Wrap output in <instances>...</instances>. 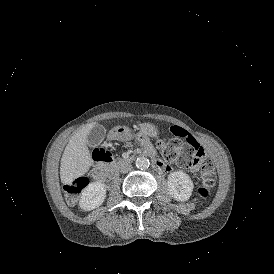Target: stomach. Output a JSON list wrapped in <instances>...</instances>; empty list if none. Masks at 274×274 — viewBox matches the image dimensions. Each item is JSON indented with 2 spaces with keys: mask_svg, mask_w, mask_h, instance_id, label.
Masks as SVG:
<instances>
[{
  "mask_svg": "<svg viewBox=\"0 0 274 274\" xmlns=\"http://www.w3.org/2000/svg\"><path fill=\"white\" fill-rule=\"evenodd\" d=\"M140 133L145 136L156 137L157 130L151 123L140 124ZM132 137L131 129L126 126H116L109 131L108 138L113 140H128Z\"/></svg>",
  "mask_w": 274,
  "mask_h": 274,
  "instance_id": "stomach-1",
  "label": "stomach"
}]
</instances>
